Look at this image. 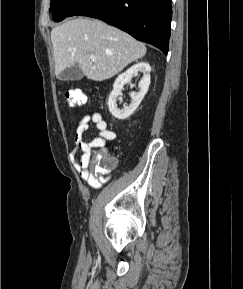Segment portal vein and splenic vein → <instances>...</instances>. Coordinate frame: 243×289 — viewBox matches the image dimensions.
<instances>
[{"label":"portal vein and splenic vein","instance_id":"18ae733b","mask_svg":"<svg viewBox=\"0 0 243 289\" xmlns=\"http://www.w3.org/2000/svg\"><path fill=\"white\" fill-rule=\"evenodd\" d=\"M90 59H91V61H93V62H95V61H96V57H95V56H93V55H91V56H90Z\"/></svg>","mask_w":243,"mask_h":289}]
</instances>
